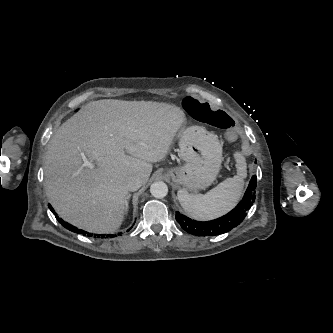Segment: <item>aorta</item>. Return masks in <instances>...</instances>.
Instances as JSON below:
<instances>
[{"label":"aorta","instance_id":"1","mask_svg":"<svg viewBox=\"0 0 333 333\" xmlns=\"http://www.w3.org/2000/svg\"><path fill=\"white\" fill-rule=\"evenodd\" d=\"M150 192L156 198H163L168 193V186L163 181H157L151 185Z\"/></svg>","mask_w":333,"mask_h":333}]
</instances>
